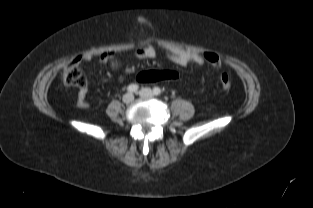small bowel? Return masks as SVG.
<instances>
[{
    "label": "small bowel",
    "mask_w": 313,
    "mask_h": 208,
    "mask_svg": "<svg viewBox=\"0 0 313 208\" xmlns=\"http://www.w3.org/2000/svg\"><path fill=\"white\" fill-rule=\"evenodd\" d=\"M158 54L157 49L152 45H144L140 47L135 52V57L137 59H152L155 58ZM166 56L173 61L175 64L181 67H188L191 65H202L205 63V60L202 55L189 53L184 50H165ZM93 58L91 54H84L77 58L76 62L81 61H90ZM99 62L102 64H109L113 70H118L121 66V61L116 57L114 52H104L99 56ZM88 93L87 85H83L79 91L77 96L78 106L81 108H88L89 103L86 100V96Z\"/></svg>",
    "instance_id": "obj_1"
}]
</instances>
